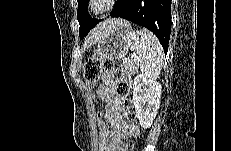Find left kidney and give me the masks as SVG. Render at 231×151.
Masks as SVG:
<instances>
[{"mask_svg": "<svg viewBox=\"0 0 231 151\" xmlns=\"http://www.w3.org/2000/svg\"><path fill=\"white\" fill-rule=\"evenodd\" d=\"M162 87L159 82L138 74L133 83V104L142 128H149L159 109Z\"/></svg>", "mask_w": 231, "mask_h": 151, "instance_id": "1", "label": "left kidney"}]
</instances>
